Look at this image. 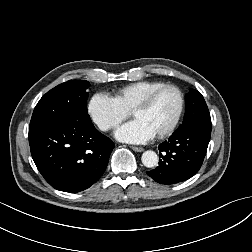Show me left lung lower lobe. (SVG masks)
Returning <instances> with one entry per match:
<instances>
[{"label":"left lung lower lobe","mask_w":252,"mask_h":252,"mask_svg":"<svg viewBox=\"0 0 252 252\" xmlns=\"http://www.w3.org/2000/svg\"><path fill=\"white\" fill-rule=\"evenodd\" d=\"M211 124L196 123L176 130L159 145V166L147 174L160 184H175L195 175L204 160Z\"/></svg>","instance_id":"1"}]
</instances>
